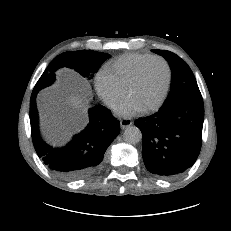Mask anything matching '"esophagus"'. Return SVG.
Masks as SVG:
<instances>
[{"instance_id":"obj_1","label":"esophagus","mask_w":231,"mask_h":231,"mask_svg":"<svg viewBox=\"0 0 231 231\" xmlns=\"http://www.w3.org/2000/svg\"><path fill=\"white\" fill-rule=\"evenodd\" d=\"M132 120L129 118H123L120 120V126L122 129L127 128L128 126L132 125Z\"/></svg>"}]
</instances>
